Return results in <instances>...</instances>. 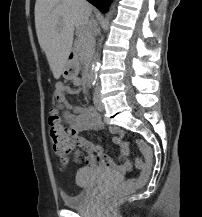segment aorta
<instances>
[{
    "instance_id": "obj_1",
    "label": "aorta",
    "mask_w": 202,
    "mask_h": 217,
    "mask_svg": "<svg viewBox=\"0 0 202 217\" xmlns=\"http://www.w3.org/2000/svg\"><path fill=\"white\" fill-rule=\"evenodd\" d=\"M112 14V11L109 10L106 17L109 18ZM99 61H100V55L98 53L95 54L94 58H93V62H92V66H91V78L93 79V81H96L97 78V71L99 69Z\"/></svg>"
}]
</instances>
